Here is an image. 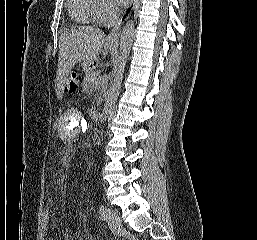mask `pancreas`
<instances>
[{"instance_id":"1","label":"pancreas","mask_w":257,"mask_h":240,"mask_svg":"<svg viewBox=\"0 0 257 240\" xmlns=\"http://www.w3.org/2000/svg\"><path fill=\"white\" fill-rule=\"evenodd\" d=\"M98 72L95 71H88L86 72V77L83 81V88L86 91L91 90L92 88H99L102 83L100 82V79L97 78Z\"/></svg>"}]
</instances>
